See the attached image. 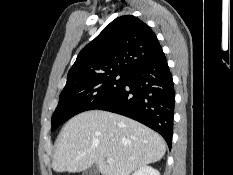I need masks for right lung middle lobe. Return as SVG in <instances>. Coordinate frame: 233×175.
Returning <instances> with one entry per match:
<instances>
[{"instance_id":"dd1d6c3e","label":"right lung middle lobe","mask_w":233,"mask_h":175,"mask_svg":"<svg viewBox=\"0 0 233 175\" xmlns=\"http://www.w3.org/2000/svg\"><path fill=\"white\" fill-rule=\"evenodd\" d=\"M127 79L128 74L110 72L67 82L52 115L51 131L76 114L97 109L110 101L125 86Z\"/></svg>"}]
</instances>
